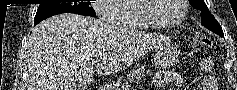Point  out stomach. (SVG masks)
Segmentation results:
<instances>
[{
    "mask_svg": "<svg viewBox=\"0 0 237 90\" xmlns=\"http://www.w3.org/2000/svg\"><path fill=\"white\" fill-rule=\"evenodd\" d=\"M178 56H179L178 52L174 49L167 50L161 54L157 53L156 64L161 68L171 66L177 61Z\"/></svg>",
    "mask_w": 237,
    "mask_h": 90,
    "instance_id": "0dacf381",
    "label": "stomach"
}]
</instances>
